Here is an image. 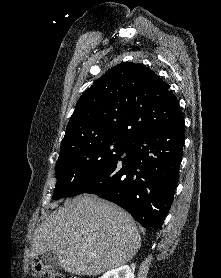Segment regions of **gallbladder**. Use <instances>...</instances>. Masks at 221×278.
<instances>
[{
    "mask_svg": "<svg viewBox=\"0 0 221 278\" xmlns=\"http://www.w3.org/2000/svg\"><path fill=\"white\" fill-rule=\"evenodd\" d=\"M41 258L50 267L56 268L59 266V259L55 251H48Z\"/></svg>",
    "mask_w": 221,
    "mask_h": 278,
    "instance_id": "gallbladder-1",
    "label": "gallbladder"
}]
</instances>
